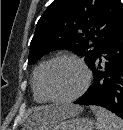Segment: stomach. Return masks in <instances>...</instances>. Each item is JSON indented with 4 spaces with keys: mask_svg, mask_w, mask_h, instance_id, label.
Instances as JSON below:
<instances>
[{
    "mask_svg": "<svg viewBox=\"0 0 123 130\" xmlns=\"http://www.w3.org/2000/svg\"><path fill=\"white\" fill-rule=\"evenodd\" d=\"M94 122L88 118H72L62 120L61 122L51 126L48 130H93ZM25 130H32L27 128Z\"/></svg>",
    "mask_w": 123,
    "mask_h": 130,
    "instance_id": "obj_1",
    "label": "stomach"
}]
</instances>
